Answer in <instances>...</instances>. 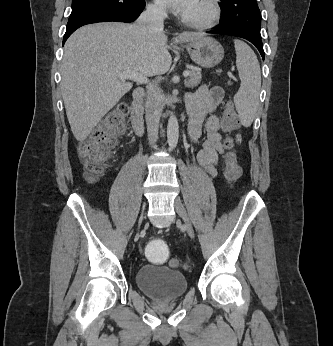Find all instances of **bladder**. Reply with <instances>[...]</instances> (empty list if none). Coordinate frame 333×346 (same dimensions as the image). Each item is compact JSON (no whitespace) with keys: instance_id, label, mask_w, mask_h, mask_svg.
I'll use <instances>...</instances> for the list:
<instances>
[{"instance_id":"obj_1","label":"bladder","mask_w":333,"mask_h":346,"mask_svg":"<svg viewBox=\"0 0 333 346\" xmlns=\"http://www.w3.org/2000/svg\"><path fill=\"white\" fill-rule=\"evenodd\" d=\"M135 279L137 287L144 294L161 302L178 299L188 286L186 277L180 271L153 264L141 266Z\"/></svg>"}]
</instances>
